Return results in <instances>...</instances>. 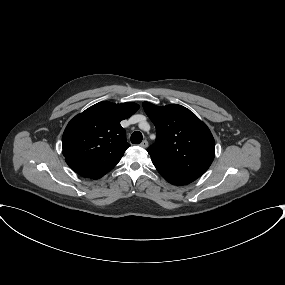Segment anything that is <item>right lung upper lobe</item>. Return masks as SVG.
Segmentation results:
<instances>
[{"mask_svg":"<svg viewBox=\"0 0 285 285\" xmlns=\"http://www.w3.org/2000/svg\"><path fill=\"white\" fill-rule=\"evenodd\" d=\"M139 105L99 102L75 116L64 130L62 148L68 166L82 177L99 179L120 161L130 146L120 122Z\"/></svg>","mask_w":285,"mask_h":285,"instance_id":"obj_1","label":"right lung upper lobe"}]
</instances>
